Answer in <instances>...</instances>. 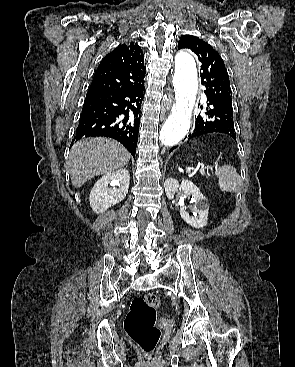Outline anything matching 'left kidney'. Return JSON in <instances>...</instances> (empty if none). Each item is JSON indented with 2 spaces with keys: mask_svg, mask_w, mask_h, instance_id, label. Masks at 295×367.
I'll use <instances>...</instances> for the list:
<instances>
[{
  "mask_svg": "<svg viewBox=\"0 0 295 367\" xmlns=\"http://www.w3.org/2000/svg\"><path fill=\"white\" fill-rule=\"evenodd\" d=\"M166 196L169 199H173L178 188L182 189L183 195L190 196L193 205V216L186 211V207L180 208V215L182 219L194 228H203L207 224V217L209 211V203L206 197L200 192L198 187L189 180H183L179 184L178 180L174 178H168L164 183Z\"/></svg>",
  "mask_w": 295,
  "mask_h": 367,
  "instance_id": "5707ae66",
  "label": "left kidney"
}]
</instances>
